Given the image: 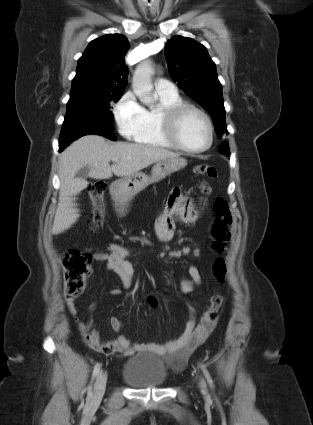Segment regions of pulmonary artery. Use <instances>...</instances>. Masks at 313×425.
I'll return each mask as SVG.
<instances>
[{"label": "pulmonary artery", "mask_w": 313, "mask_h": 425, "mask_svg": "<svg viewBox=\"0 0 313 425\" xmlns=\"http://www.w3.org/2000/svg\"><path fill=\"white\" fill-rule=\"evenodd\" d=\"M155 90L157 93L167 96L177 95V89L172 82L167 79L159 78L155 81Z\"/></svg>", "instance_id": "1"}]
</instances>
